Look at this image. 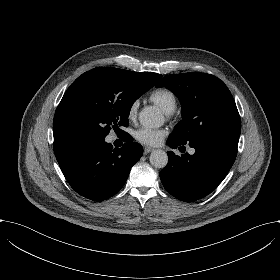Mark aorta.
<instances>
[{"instance_id": "762f6f07", "label": "aorta", "mask_w": 280, "mask_h": 280, "mask_svg": "<svg viewBox=\"0 0 280 280\" xmlns=\"http://www.w3.org/2000/svg\"><path fill=\"white\" fill-rule=\"evenodd\" d=\"M139 122L147 130L161 127L163 118L160 109L156 106L145 107L139 115ZM149 159L151 165L156 168H164L168 163L167 153L160 149L154 150Z\"/></svg>"}]
</instances>
